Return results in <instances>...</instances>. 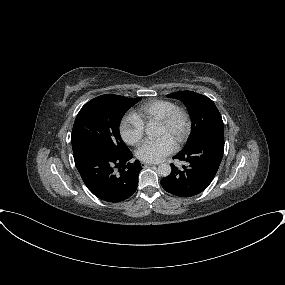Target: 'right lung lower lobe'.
Here are the masks:
<instances>
[{"mask_svg": "<svg viewBox=\"0 0 285 285\" xmlns=\"http://www.w3.org/2000/svg\"><path fill=\"white\" fill-rule=\"evenodd\" d=\"M73 154L85 185L99 199L121 202L136 191L142 167L138 160L129 162L132 158L130 151L112 154L95 147L81 146L73 150Z\"/></svg>", "mask_w": 285, "mask_h": 285, "instance_id": "right-lung-lower-lobe-1", "label": "right lung lower lobe"}]
</instances>
